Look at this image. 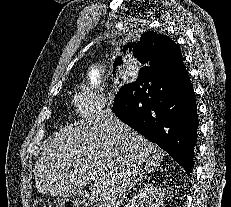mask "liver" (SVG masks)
<instances>
[{"label": "liver", "mask_w": 231, "mask_h": 207, "mask_svg": "<svg viewBox=\"0 0 231 207\" xmlns=\"http://www.w3.org/2000/svg\"><path fill=\"white\" fill-rule=\"evenodd\" d=\"M163 156L108 108L44 142L34 169L35 187L41 194L65 197L90 184L89 198L97 207H120Z\"/></svg>", "instance_id": "1"}]
</instances>
